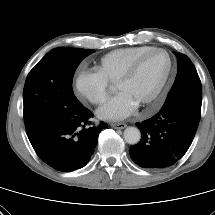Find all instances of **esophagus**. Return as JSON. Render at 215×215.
<instances>
[{"mask_svg":"<svg viewBox=\"0 0 215 215\" xmlns=\"http://www.w3.org/2000/svg\"><path fill=\"white\" fill-rule=\"evenodd\" d=\"M110 125L115 129H124L126 127L125 123H111Z\"/></svg>","mask_w":215,"mask_h":215,"instance_id":"obj_1","label":"esophagus"}]
</instances>
